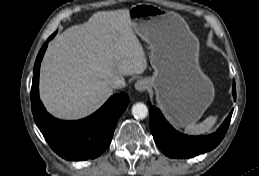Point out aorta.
<instances>
[{
    "label": "aorta",
    "instance_id": "762f6f07",
    "mask_svg": "<svg viewBox=\"0 0 259 176\" xmlns=\"http://www.w3.org/2000/svg\"><path fill=\"white\" fill-rule=\"evenodd\" d=\"M132 114L137 119H144L148 115V108L144 103H136L132 106Z\"/></svg>",
    "mask_w": 259,
    "mask_h": 176
}]
</instances>
